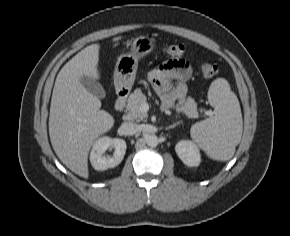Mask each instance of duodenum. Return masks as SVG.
<instances>
[{"label": "duodenum", "mask_w": 290, "mask_h": 236, "mask_svg": "<svg viewBox=\"0 0 290 236\" xmlns=\"http://www.w3.org/2000/svg\"><path fill=\"white\" fill-rule=\"evenodd\" d=\"M127 97L128 91L126 89H119L117 91V97L114 104V110L116 112H121L124 109Z\"/></svg>", "instance_id": "obj_1"}]
</instances>
